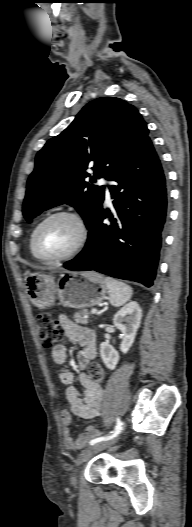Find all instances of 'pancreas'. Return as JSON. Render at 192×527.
I'll return each mask as SVG.
<instances>
[{"instance_id":"obj_1","label":"pancreas","mask_w":192,"mask_h":527,"mask_svg":"<svg viewBox=\"0 0 192 527\" xmlns=\"http://www.w3.org/2000/svg\"><path fill=\"white\" fill-rule=\"evenodd\" d=\"M90 313L87 309H83L74 313V320L76 323L87 324Z\"/></svg>"}]
</instances>
